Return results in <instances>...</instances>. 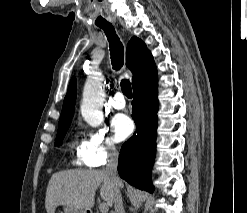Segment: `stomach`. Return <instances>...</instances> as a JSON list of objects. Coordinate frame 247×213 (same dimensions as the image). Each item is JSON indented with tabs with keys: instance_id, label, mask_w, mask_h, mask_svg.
<instances>
[{
	"instance_id": "1",
	"label": "stomach",
	"mask_w": 247,
	"mask_h": 213,
	"mask_svg": "<svg viewBox=\"0 0 247 213\" xmlns=\"http://www.w3.org/2000/svg\"><path fill=\"white\" fill-rule=\"evenodd\" d=\"M64 213H87V210L65 206Z\"/></svg>"
}]
</instances>
